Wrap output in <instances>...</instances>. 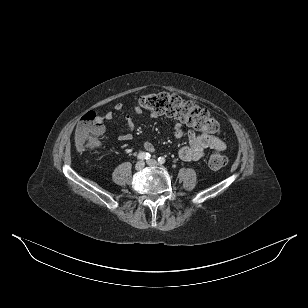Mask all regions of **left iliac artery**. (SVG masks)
Here are the masks:
<instances>
[{
	"label": "left iliac artery",
	"instance_id": "left-iliac-artery-1",
	"mask_svg": "<svg viewBox=\"0 0 308 308\" xmlns=\"http://www.w3.org/2000/svg\"><path fill=\"white\" fill-rule=\"evenodd\" d=\"M165 158L164 157H159L158 158V162L160 163V164H164L165 163Z\"/></svg>",
	"mask_w": 308,
	"mask_h": 308
}]
</instances>
